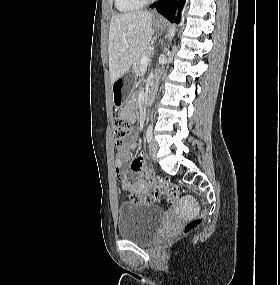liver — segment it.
<instances>
[{"label": "liver", "instance_id": "obj_1", "mask_svg": "<svg viewBox=\"0 0 280 285\" xmlns=\"http://www.w3.org/2000/svg\"><path fill=\"white\" fill-rule=\"evenodd\" d=\"M152 13L133 11L113 15L109 28V72L113 84L125 74L152 38Z\"/></svg>", "mask_w": 280, "mask_h": 285}]
</instances>
